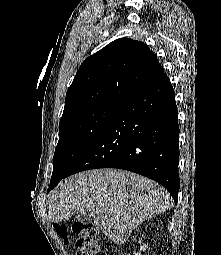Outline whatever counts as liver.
<instances>
[{
    "label": "liver",
    "mask_w": 221,
    "mask_h": 255,
    "mask_svg": "<svg viewBox=\"0 0 221 255\" xmlns=\"http://www.w3.org/2000/svg\"><path fill=\"white\" fill-rule=\"evenodd\" d=\"M168 192L141 175L117 169H95L63 180L50 194L49 220L65 222L87 212L114 243L124 244L148 218L171 207Z\"/></svg>",
    "instance_id": "6515ba94"
}]
</instances>
